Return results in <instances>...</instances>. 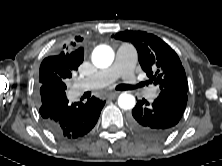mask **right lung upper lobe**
<instances>
[{
	"label": "right lung upper lobe",
	"instance_id": "cb5924a9",
	"mask_svg": "<svg viewBox=\"0 0 222 166\" xmlns=\"http://www.w3.org/2000/svg\"><path fill=\"white\" fill-rule=\"evenodd\" d=\"M82 40L81 37H75V40L62 45L55 55L45 58L41 63L40 73L48 71L59 74L77 70L84 59L83 48L79 47Z\"/></svg>",
	"mask_w": 222,
	"mask_h": 166
}]
</instances>
